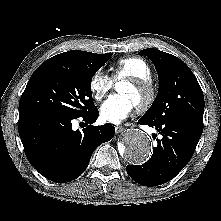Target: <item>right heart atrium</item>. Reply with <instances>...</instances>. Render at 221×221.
<instances>
[{"label": "right heart atrium", "instance_id": "right-heart-atrium-1", "mask_svg": "<svg viewBox=\"0 0 221 221\" xmlns=\"http://www.w3.org/2000/svg\"><path fill=\"white\" fill-rule=\"evenodd\" d=\"M113 80L102 70H97L89 82L90 92L95 100H101L112 88Z\"/></svg>", "mask_w": 221, "mask_h": 221}]
</instances>
